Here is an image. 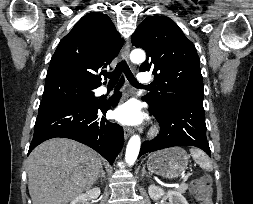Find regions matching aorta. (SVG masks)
Here are the masks:
<instances>
[{
  "mask_svg": "<svg viewBox=\"0 0 253 204\" xmlns=\"http://www.w3.org/2000/svg\"><path fill=\"white\" fill-rule=\"evenodd\" d=\"M145 52L141 49H135L130 54V59L133 63H142L145 61ZM141 146V140L138 135H134L130 138L125 154L126 163L133 165L138 157Z\"/></svg>",
  "mask_w": 253,
  "mask_h": 204,
  "instance_id": "762f6f07",
  "label": "aorta"
}]
</instances>
